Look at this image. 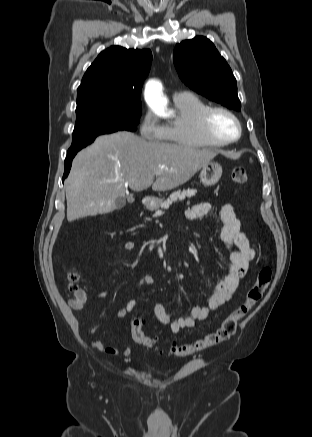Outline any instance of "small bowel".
Wrapping results in <instances>:
<instances>
[{"instance_id": "1", "label": "small bowel", "mask_w": 312, "mask_h": 437, "mask_svg": "<svg viewBox=\"0 0 312 437\" xmlns=\"http://www.w3.org/2000/svg\"><path fill=\"white\" fill-rule=\"evenodd\" d=\"M210 210L211 204L209 202H201L191 206L186 211V217L189 220H196L206 216ZM220 217L223 223L220 238L229 252L231 265L225 276L216 282L208 304L205 306L196 305L188 315L175 320L171 319L161 303L156 302L153 305L158 321L162 324H170L173 333H178L185 328L194 327L197 321L207 319L211 311L222 308L236 293L241 280L249 269L250 262L256 256V251L251 246L246 233L241 231V222L231 203H224L220 207ZM125 248L132 250L134 243L126 242ZM153 283L154 278L147 274L140 278L137 286H150ZM138 308L139 303L136 300H128L119 309L118 316L121 319H125L130 312ZM91 345L95 349L109 355L127 356L130 353L128 347L118 349L100 340H92Z\"/></svg>"}]
</instances>
